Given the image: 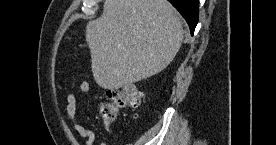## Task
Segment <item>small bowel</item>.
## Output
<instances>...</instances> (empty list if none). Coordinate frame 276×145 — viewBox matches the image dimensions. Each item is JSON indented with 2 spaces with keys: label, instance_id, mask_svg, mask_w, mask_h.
<instances>
[{
  "label": "small bowel",
  "instance_id": "small-bowel-1",
  "mask_svg": "<svg viewBox=\"0 0 276 145\" xmlns=\"http://www.w3.org/2000/svg\"><path fill=\"white\" fill-rule=\"evenodd\" d=\"M80 91L83 94H87L90 92V84L87 81H84L80 84ZM76 111H77V98L74 94L70 93L66 97V105H65V113L67 119L69 120L73 130L84 138V145H93L95 141V134L92 130L87 127L81 125L77 122L76 119ZM103 128L108 135H112V131L110 128V123L106 120L103 121ZM101 145H107L106 142Z\"/></svg>",
  "mask_w": 276,
  "mask_h": 145
}]
</instances>
